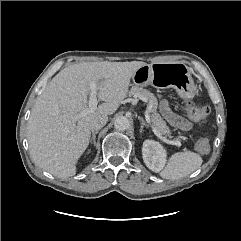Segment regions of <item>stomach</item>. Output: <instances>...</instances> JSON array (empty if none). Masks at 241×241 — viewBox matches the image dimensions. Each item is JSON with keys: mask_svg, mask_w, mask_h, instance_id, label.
<instances>
[{"mask_svg": "<svg viewBox=\"0 0 241 241\" xmlns=\"http://www.w3.org/2000/svg\"><path fill=\"white\" fill-rule=\"evenodd\" d=\"M132 79L135 85L141 87L174 88L185 99L193 98L196 93L190 70L183 62L146 64L137 69Z\"/></svg>", "mask_w": 241, "mask_h": 241, "instance_id": "stomach-1", "label": "stomach"}]
</instances>
